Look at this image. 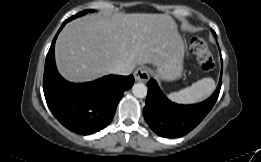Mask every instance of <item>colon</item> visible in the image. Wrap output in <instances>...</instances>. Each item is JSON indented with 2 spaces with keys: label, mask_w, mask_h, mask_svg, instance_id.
Listing matches in <instances>:
<instances>
[{
  "label": "colon",
  "mask_w": 261,
  "mask_h": 162,
  "mask_svg": "<svg viewBox=\"0 0 261 162\" xmlns=\"http://www.w3.org/2000/svg\"><path fill=\"white\" fill-rule=\"evenodd\" d=\"M190 47L193 53L197 56L201 68L204 71H211L214 68L215 61L207 42L201 37H193L190 41Z\"/></svg>",
  "instance_id": "1"
}]
</instances>
